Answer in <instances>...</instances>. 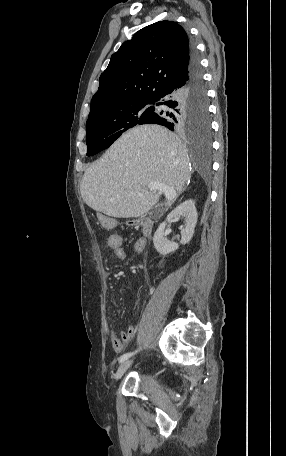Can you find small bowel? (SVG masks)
<instances>
[{
  "instance_id": "1",
  "label": "small bowel",
  "mask_w": 286,
  "mask_h": 456,
  "mask_svg": "<svg viewBox=\"0 0 286 456\" xmlns=\"http://www.w3.org/2000/svg\"><path fill=\"white\" fill-rule=\"evenodd\" d=\"M111 236H115L116 243H111ZM108 246L112 249V253L115 259L124 260L127 256L125 249L122 246V237L119 234H112L108 238ZM146 247V240L139 238L133 245V252L140 254ZM136 328L134 325H130L126 330L121 331L119 335L116 334L114 328L110 327L112 347L116 353H121L124 350L125 345L130 342L135 334Z\"/></svg>"
}]
</instances>
